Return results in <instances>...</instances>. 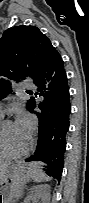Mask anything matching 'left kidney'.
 <instances>
[{
    "label": "left kidney",
    "mask_w": 89,
    "mask_h": 203,
    "mask_svg": "<svg viewBox=\"0 0 89 203\" xmlns=\"http://www.w3.org/2000/svg\"><path fill=\"white\" fill-rule=\"evenodd\" d=\"M50 203V187L48 185H40L31 188L29 196L23 203Z\"/></svg>",
    "instance_id": "5707ae66"
}]
</instances>
